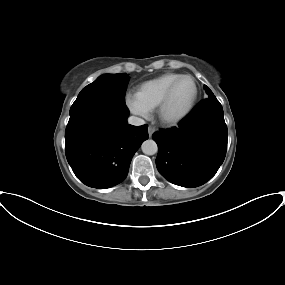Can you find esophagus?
I'll return each instance as SVG.
<instances>
[{"label":"esophagus","instance_id":"1","mask_svg":"<svg viewBox=\"0 0 285 285\" xmlns=\"http://www.w3.org/2000/svg\"><path fill=\"white\" fill-rule=\"evenodd\" d=\"M155 132V128L152 127V126H149L148 127V134H149V137H152L153 133Z\"/></svg>","mask_w":285,"mask_h":285}]
</instances>
